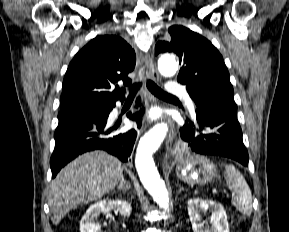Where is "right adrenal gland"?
Listing matches in <instances>:
<instances>
[{
    "mask_svg": "<svg viewBox=\"0 0 289 232\" xmlns=\"http://www.w3.org/2000/svg\"><path fill=\"white\" fill-rule=\"evenodd\" d=\"M117 189L122 190L123 192H126L130 189V184L124 179V176L121 177V181L117 186Z\"/></svg>",
    "mask_w": 289,
    "mask_h": 232,
    "instance_id": "obj_1",
    "label": "right adrenal gland"
}]
</instances>
